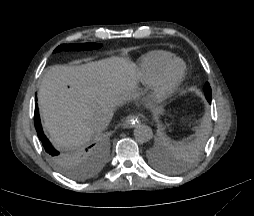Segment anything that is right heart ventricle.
<instances>
[{
  "label": "right heart ventricle",
  "instance_id": "obj_1",
  "mask_svg": "<svg viewBox=\"0 0 254 216\" xmlns=\"http://www.w3.org/2000/svg\"><path fill=\"white\" fill-rule=\"evenodd\" d=\"M172 54L156 50L144 54L137 63L135 80L140 85H149L154 82L160 68L170 59Z\"/></svg>",
  "mask_w": 254,
  "mask_h": 216
}]
</instances>
